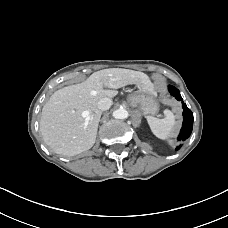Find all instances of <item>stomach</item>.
Segmentation results:
<instances>
[{
  "label": "stomach",
  "instance_id": "0dacf381",
  "mask_svg": "<svg viewBox=\"0 0 228 228\" xmlns=\"http://www.w3.org/2000/svg\"><path fill=\"white\" fill-rule=\"evenodd\" d=\"M129 105L144 114L155 115L158 112V103L155 93L150 91H139L128 96Z\"/></svg>",
  "mask_w": 228,
  "mask_h": 228
}]
</instances>
